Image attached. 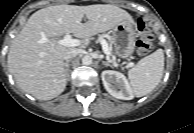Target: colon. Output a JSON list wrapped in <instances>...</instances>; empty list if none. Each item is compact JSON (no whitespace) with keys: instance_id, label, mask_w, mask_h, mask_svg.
<instances>
[{"instance_id":"colon-1","label":"colon","mask_w":194,"mask_h":133,"mask_svg":"<svg viewBox=\"0 0 194 133\" xmlns=\"http://www.w3.org/2000/svg\"><path fill=\"white\" fill-rule=\"evenodd\" d=\"M136 29L139 35V40L136 44L137 53L145 55L149 53L153 45V34L146 22L142 18L136 20Z\"/></svg>"}]
</instances>
